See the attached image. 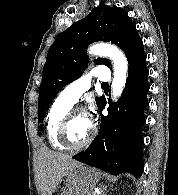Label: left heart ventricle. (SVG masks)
Listing matches in <instances>:
<instances>
[{
  "instance_id": "b2bd125f",
  "label": "left heart ventricle",
  "mask_w": 178,
  "mask_h": 195,
  "mask_svg": "<svg viewBox=\"0 0 178 195\" xmlns=\"http://www.w3.org/2000/svg\"><path fill=\"white\" fill-rule=\"evenodd\" d=\"M92 123L89 122L86 114H78L72 120L68 129V139L71 144L79 145L90 135Z\"/></svg>"
}]
</instances>
